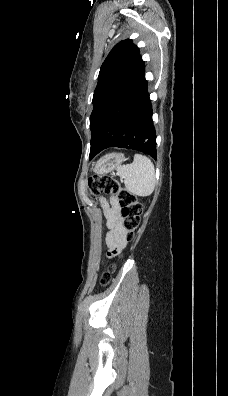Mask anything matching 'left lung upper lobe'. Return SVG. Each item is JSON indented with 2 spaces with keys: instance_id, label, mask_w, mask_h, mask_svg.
Instances as JSON below:
<instances>
[{
  "instance_id": "5c2ea615",
  "label": "left lung upper lobe",
  "mask_w": 228,
  "mask_h": 396,
  "mask_svg": "<svg viewBox=\"0 0 228 396\" xmlns=\"http://www.w3.org/2000/svg\"><path fill=\"white\" fill-rule=\"evenodd\" d=\"M144 71V61L132 40L127 39L119 42L106 57L101 66L93 96V111L90 116L92 133L90 159L97 154L98 144L95 136L103 124L106 112L142 76ZM126 103L124 105L121 103L120 108L124 107Z\"/></svg>"
}]
</instances>
